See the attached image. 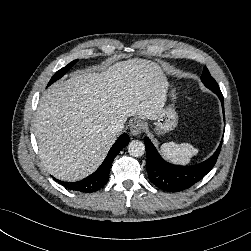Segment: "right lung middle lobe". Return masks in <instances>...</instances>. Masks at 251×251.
Returning <instances> with one entry per match:
<instances>
[{
    "instance_id": "dd1d6c3e",
    "label": "right lung middle lobe",
    "mask_w": 251,
    "mask_h": 251,
    "mask_svg": "<svg viewBox=\"0 0 251 251\" xmlns=\"http://www.w3.org/2000/svg\"><path fill=\"white\" fill-rule=\"evenodd\" d=\"M78 62L77 60H74L72 62H70L67 66L61 68L59 71H57L53 77L51 78V80L49 81L48 86H50L53 82H55L56 80L60 79L70 68H72V66H74L76 63Z\"/></svg>"
}]
</instances>
